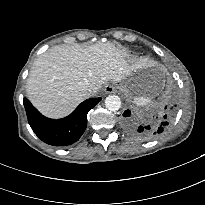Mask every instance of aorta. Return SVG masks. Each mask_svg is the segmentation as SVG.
<instances>
[{
  "mask_svg": "<svg viewBox=\"0 0 205 205\" xmlns=\"http://www.w3.org/2000/svg\"><path fill=\"white\" fill-rule=\"evenodd\" d=\"M105 106L110 111H117L121 107V99L117 95H109L105 99Z\"/></svg>",
  "mask_w": 205,
  "mask_h": 205,
  "instance_id": "aorta-1",
  "label": "aorta"
}]
</instances>
